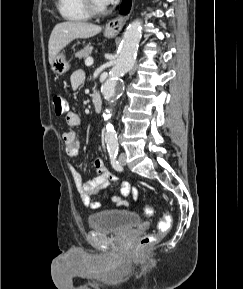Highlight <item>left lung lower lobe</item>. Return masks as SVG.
I'll use <instances>...</instances> for the list:
<instances>
[{
  "label": "left lung lower lobe",
  "instance_id": "1",
  "mask_svg": "<svg viewBox=\"0 0 243 289\" xmlns=\"http://www.w3.org/2000/svg\"><path fill=\"white\" fill-rule=\"evenodd\" d=\"M131 7V1L130 0H123V4L121 6V13H128Z\"/></svg>",
  "mask_w": 243,
  "mask_h": 289
}]
</instances>
